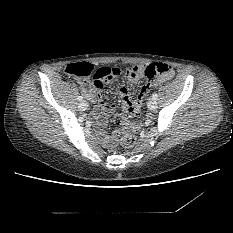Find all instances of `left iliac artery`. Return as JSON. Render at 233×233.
Listing matches in <instances>:
<instances>
[{"label":"left iliac artery","instance_id":"obj_1","mask_svg":"<svg viewBox=\"0 0 233 233\" xmlns=\"http://www.w3.org/2000/svg\"><path fill=\"white\" fill-rule=\"evenodd\" d=\"M157 98H158V95H157L156 93H154V94L152 95V100L156 101Z\"/></svg>","mask_w":233,"mask_h":233}]
</instances>
